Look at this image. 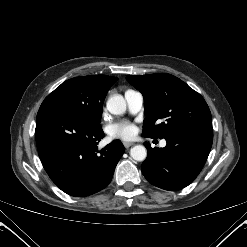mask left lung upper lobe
<instances>
[{"mask_svg":"<svg viewBox=\"0 0 247 247\" xmlns=\"http://www.w3.org/2000/svg\"><path fill=\"white\" fill-rule=\"evenodd\" d=\"M126 78L144 97V110L148 114L143 121L145 137L162 139L186 127L212 125L203 97L179 78L166 73Z\"/></svg>","mask_w":247,"mask_h":247,"instance_id":"5c2ea615","label":"left lung upper lobe"}]
</instances>
